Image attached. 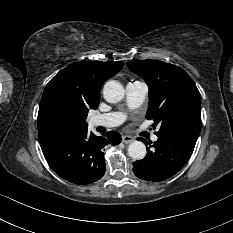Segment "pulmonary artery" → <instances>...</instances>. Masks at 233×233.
<instances>
[{"label": "pulmonary artery", "instance_id": "obj_1", "mask_svg": "<svg viewBox=\"0 0 233 233\" xmlns=\"http://www.w3.org/2000/svg\"><path fill=\"white\" fill-rule=\"evenodd\" d=\"M148 93L147 85L138 80L130 81L126 85V98L127 104L130 108H135L141 105ZM125 119L123 113L120 112H111L102 115H97L92 118V124L94 126H103V127H115L120 125ZM153 141L158 140L157 135L152 136Z\"/></svg>", "mask_w": 233, "mask_h": 233}]
</instances>
